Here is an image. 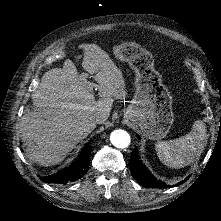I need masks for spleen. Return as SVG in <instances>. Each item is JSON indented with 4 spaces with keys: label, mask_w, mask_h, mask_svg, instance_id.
I'll use <instances>...</instances> for the list:
<instances>
[{
    "label": "spleen",
    "mask_w": 221,
    "mask_h": 221,
    "mask_svg": "<svg viewBox=\"0 0 221 221\" xmlns=\"http://www.w3.org/2000/svg\"><path fill=\"white\" fill-rule=\"evenodd\" d=\"M206 126L196 121L185 136L156 144L157 155L165 165L179 169L194 162L195 154L204 147Z\"/></svg>",
    "instance_id": "1"
}]
</instances>
